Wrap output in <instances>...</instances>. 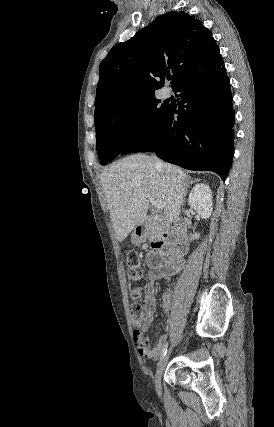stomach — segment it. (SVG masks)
<instances>
[{"mask_svg": "<svg viewBox=\"0 0 274 427\" xmlns=\"http://www.w3.org/2000/svg\"><path fill=\"white\" fill-rule=\"evenodd\" d=\"M141 239H143V235H137L135 231L132 233V241L133 243H140Z\"/></svg>", "mask_w": 274, "mask_h": 427, "instance_id": "0dacf381", "label": "stomach"}]
</instances>
